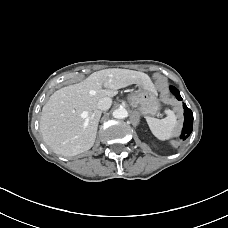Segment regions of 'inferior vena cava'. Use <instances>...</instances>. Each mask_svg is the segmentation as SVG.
<instances>
[{
	"mask_svg": "<svg viewBox=\"0 0 228 228\" xmlns=\"http://www.w3.org/2000/svg\"><path fill=\"white\" fill-rule=\"evenodd\" d=\"M111 104H112L111 98L105 97V98H102L98 101L97 108L100 111H106L110 108Z\"/></svg>",
	"mask_w": 228,
	"mask_h": 228,
	"instance_id": "inferior-vena-cava-1",
	"label": "inferior vena cava"
}]
</instances>
